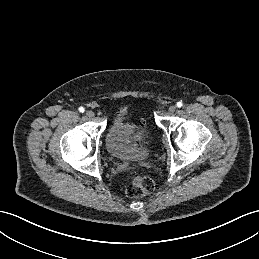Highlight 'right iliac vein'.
Instances as JSON below:
<instances>
[{
	"label": "right iliac vein",
	"mask_w": 259,
	"mask_h": 259,
	"mask_svg": "<svg viewBox=\"0 0 259 259\" xmlns=\"http://www.w3.org/2000/svg\"><path fill=\"white\" fill-rule=\"evenodd\" d=\"M86 115H87V117L92 118V117H94V112L92 110H88V111H86Z\"/></svg>",
	"instance_id": "right-iliac-vein-1"
}]
</instances>
